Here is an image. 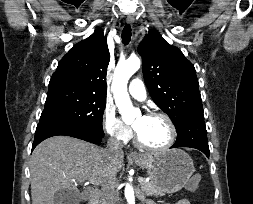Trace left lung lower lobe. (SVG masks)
I'll return each instance as SVG.
<instances>
[{"instance_id": "1", "label": "left lung lower lobe", "mask_w": 253, "mask_h": 204, "mask_svg": "<svg viewBox=\"0 0 253 204\" xmlns=\"http://www.w3.org/2000/svg\"><path fill=\"white\" fill-rule=\"evenodd\" d=\"M177 134L176 142L171 148H195L209 157V146L203 112L188 117L183 125L177 129Z\"/></svg>"}]
</instances>
